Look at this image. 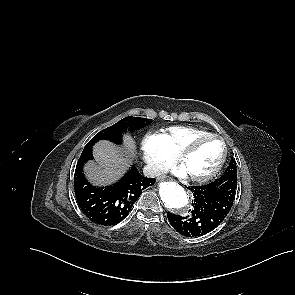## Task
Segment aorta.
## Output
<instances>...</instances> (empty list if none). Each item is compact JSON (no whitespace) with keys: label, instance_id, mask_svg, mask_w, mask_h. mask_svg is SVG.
<instances>
[{"label":"aorta","instance_id":"762f6f07","mask_svg":"<svg viewBox=\"0 0 295 295\" xmlns=\"http://www.w3.org/2000/svg\"><path fill=\"white\" fill-rule=\"evenodd\" d=\"M159 195L165 207L180 210L189 203V196L185 190L175 182H161L159 184Z\"/></svg>","mask_w":295,"mask_h":295}]
</instances>
